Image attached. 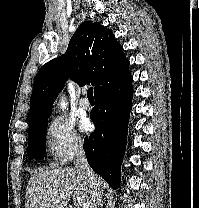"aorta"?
<instances>
[{
	"label": "aorta",
	"instance_id": "1",
	"mask_svg": "<svg viewBox=\"0 0 199 208\" xmlns=\"http://www.w3.org/2000/svg\"><path fill=\"white\" fill-rule=\"evenodd\" d=\"M61 106L64 108L66 106L65 102L62 101Z\"/></svg>",
	"mask_w": 199,
	"mask_h": 208
}]
</instances>
